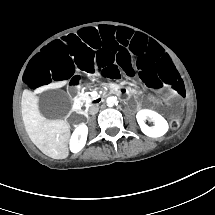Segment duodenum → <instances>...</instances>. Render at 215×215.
<instances>
[{
	"mask_svg": "<svg viewBox=\"0 0 215 215\" xmlns=\"http://www.w3.org/2000/svg\"><path fill=\"white\" fill-rule=\"evenodd\" d=\"M106 95H115V96L119 97L120 99L126 101L130 97H132L133 94L127 88H123V87H119V86H111L106 94L99 95L98 97L92 99V103H94V104L101 103ZM77 107H79V105H77Z\"/></svg>",
	"mask_w": 215,
	"mask_h": 215,
	"instance_id": "1",
	"label": "duodenum"
}]
</instances>
